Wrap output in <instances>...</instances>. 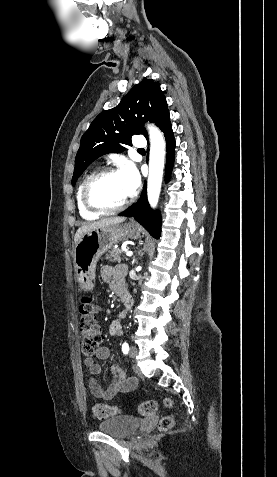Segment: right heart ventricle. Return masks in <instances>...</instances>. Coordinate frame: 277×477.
Instances as JSON below:
<instances>
[{
	"label": "right heart ventricle",
	"instance_id": "obj_1",
	"mask_svg": "<svg viewBox=\"0 0 277 477\" xmlns=\"http://www.w3.org/2000/svg\"><path fill=\"white\" fill-rule=\"evenodd\" d=\"M96 171H93L91 173H89L82 181V183L80 184L79 188H78V191H77V205H78V210H79V213L81 215V217L85 220H95L97 218L100 217L101 214H97V213H93L89 210H87L83 203H82V190H83V187L85 185V183L88 181V179L93 175L95 174Z\"/></svg>",
	"mask_w": 277,
	"mask_h": 477
}]
</instances>
